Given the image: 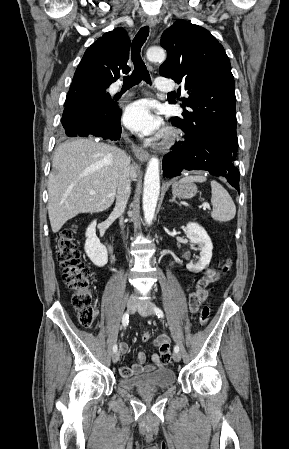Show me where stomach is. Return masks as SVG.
Listing matches in <instances>:
<instances>
[{"label":"stomach","instance_id":"0dacf381","mask_svg":"<svg viewBox=\"0 0 289 449\" xmlns=\"http://www.w3.org/2000/svg\"><path fill=\"white\" fill-rule=\"evenodd\" d=\"M172 193L179 198L190 199L196 195L197 187L192 182L177 181L172 185Z\"/></svg>","mask_w":289,"mask_h":449}]
</instances>
